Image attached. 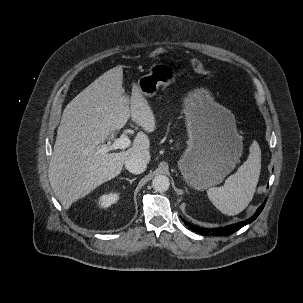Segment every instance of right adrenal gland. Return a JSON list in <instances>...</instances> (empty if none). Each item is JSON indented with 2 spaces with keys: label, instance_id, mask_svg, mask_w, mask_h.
<instances>
[{
  "label": "right adrenal gland",
  "instance_id": "1",
  "mask_svg": "<svg viewBox=\"0 0 303 303\" xmlns=\"http://www.w3.org/2000/svg\"><path fill=\"white\" fill-rule=\"evenodd\" d=\"M122 179H124V180L128 181L130 184H132V182L135 181L137 178L135 177L133 179H129V178H122Z\"/></svg>",
  "mask_w": 303,
  "mask_h": 303
}]
</instances>
